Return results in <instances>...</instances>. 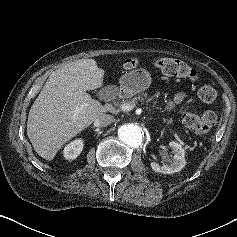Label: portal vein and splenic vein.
Masks as SVG:
<instances>
[{"mask_svg": "<svg viewBox=\"0 0 237 237\" xmlns=\"http://www.w3.org/2000/svg\"><path fill=\"white\" fill-rule=\"evenodd\" d=\"M134 108V105L124 104L120 106V109L124 112L130 111Z\"/></svg>", "mask_w": 237, "mask_h": 237, "instance_id": "obj_1", "label": "portal vein and splenic vein"}]
</instances>
